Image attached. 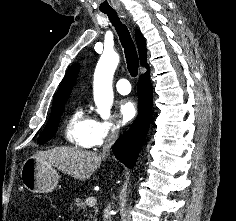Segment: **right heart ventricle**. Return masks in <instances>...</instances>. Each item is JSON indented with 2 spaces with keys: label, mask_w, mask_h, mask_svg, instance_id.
<instances>
[{
  "label": "right heart ventricle",
  "mask_w": 236,
  "mask_h": 221,
  "mask_svg": "<svg viewBox=\"0 0 236 221\" xmlns=\"http://www.w3.org/2000/svg\"><path fill=\"white\" fill-rule=\"evenodd\" d=\"M94 120L82 106L77 107L66 124V139L79 148L91 147V130Z\"/></svg>",
  "instance_id": "e07e8e85"
}]
</instances>
